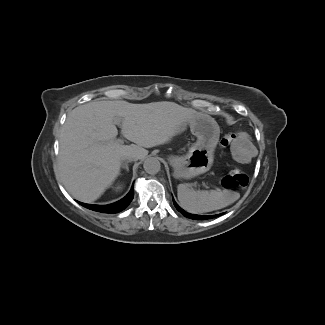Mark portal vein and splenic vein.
<instances>
[{"label":"portal vein and splenic vein","mask_w":325,"mask_h":325,"mask_svg":"<svg viewBox=\"0 0 325 325\" xmlns=\"http://www.w3.org/2000/svg\"><path fill=\"white\" fill-rule=\"evenodd\" d=\"M115 124L118 125L119 124V121L118 120H115ZM116 142H118L119 144H121V143H123V140L119 139Z\"/></svg>","instance_id":"obj_1"}]
</instances>
